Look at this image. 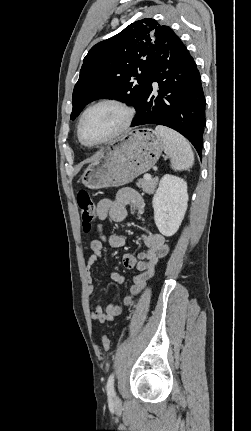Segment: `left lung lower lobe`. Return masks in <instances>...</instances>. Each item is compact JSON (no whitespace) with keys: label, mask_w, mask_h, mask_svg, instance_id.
<instances>
[{"label":"left lung lower lobe","mask_w":251,"mask_h":431,"mask_svg":"<svg viewBox=\"0 0 251 431\" xmlns=\"http://www.w3.org/2000/svg\"><path fill=\"white\" fill-rule=\"evenodd\" d=\"M158 85V94L152 84ZM158 124L185 136L201 156L205 96L194 59L174 33L157 48L141 104L131 126Z\"/></svg>","instance_id":"1"}]
</instances>
